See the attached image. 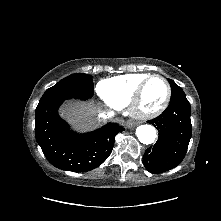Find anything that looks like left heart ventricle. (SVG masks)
Listing matches in <instances>:
<instances>
[{"label": "left heart ventricle", "mask_w": 221, "mask_h": 221, "mask_svg": "<svg viewBox=\"0 0 221 221\" xmlns=\"http://www.w3.org/2000/svg\"><path fill=\"white\" fill-rule=\"evenodd\" d=\"M166 96V86L159 78L150 80L146 86L141 106L144 110H152L159 106Z\"/></svg>", "instance_id": "b2bd125f"}]
</instances>
